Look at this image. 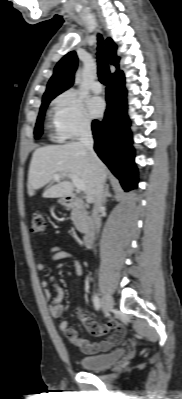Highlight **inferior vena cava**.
<instances>
[{"mask_svg":"<svg viewBox=\"0 0 182 399\" xmlns=\"http://www.w3.org/2000/svg\"><path fill=\"white\" fill-rule=\"evenodd\" d=\"M79 142L85 147L90 157L94 161H98V157L93 150L94 142L92 137L91 124L89 121H85L81 125ZM104 185L105 182L102 174L100 172H97L95 180V200L93 208L94 221L97 229H99L101 226V218L99 212L104 204Z\"/></svg>","mask_w":182,"mask_h":399,"instance_id":"obj_1","label":"inferior vena cava"}]
</instances>
